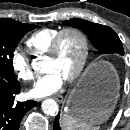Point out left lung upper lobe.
Returning a JSON list of instances; mask_svg holds the SVG:
<instances>
[{
  "label": "left lung upper lobe",
  "instance_id": "left-lung-upper-lobe-1",
  "mask_svg": "<svg viewBox=\"0 0 130 130\" xmlns=\"http://www.w3.org/2000/svg\"><path fill=\"white\" fill-rule=\"evenodd\" d=\"M63 24L78 27L86 32L100 53L124 55L122 42L110 27L78 18L64 21Z\"/></svg>",
  "mask_w": 130,
  "mask_h": 130
}]
</instances>
